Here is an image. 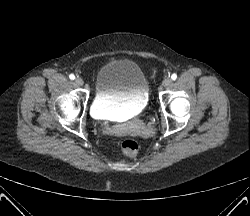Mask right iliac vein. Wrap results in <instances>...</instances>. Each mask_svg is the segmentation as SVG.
I'll use <instances>...</instances> for the list:
<instances>
[{"mask_svg": "<svg viewBox=\"0 0 250 216\" xmlns=\"http://www.w3.org/2000/svg\"><path fill=\"white\" fill-rule=\"evenodd\" d=\"M75 83H76L77 85H79V86H82V85L84 84V81H83L82 78L77 77V78L75 79Z\"/></svg>", "mask_w": 250, "mask_h": 216, "instance_id": "63e3f726", "label": "right iliac vein"}]
</instances>
